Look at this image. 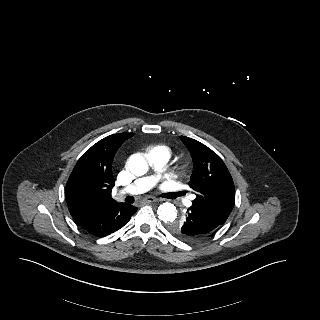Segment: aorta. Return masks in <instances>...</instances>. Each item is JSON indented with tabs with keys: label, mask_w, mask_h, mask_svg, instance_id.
<instances>
[{
	"label": "aorta",
	"mask_w": 320,
	"mask_h": 320,
	"mask_svg": "<svg viewBox=\"0 0 320 320\" xmlns=\"http://www.w3.org/2000/svg\"><path fill=\"white\" fill-rule=\"evenodd\" d=\"M128 168L135 176H142L149 170L147 160L140 154L135 153L128 160ZM158 217L164 223H172L177 218V209L171 203H163L158 207Z\"/></svg>",
	"instance_id": "1"
}]
</instances>
